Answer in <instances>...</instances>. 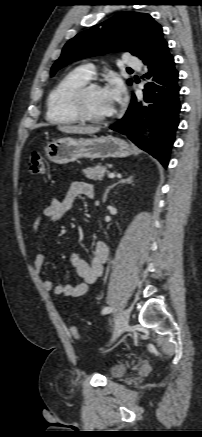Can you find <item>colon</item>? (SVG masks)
<instances>
[{
    "instance_id": "1",
    "label": "colon",
    "mask_w": 202,
    "mask_h": 437,
    "mask_svg": "<svg viewBox=\"0 0 202 437\" xmlns=\"http://www.w3.org/2000/svg\"><path fill=\"white\" fill-rule=\"evenodd\" d=\"M28 168L30 173L34 175L43 174L45 171V163L43 160L42 155L39 152H33L30 155L29 162H28ZM69 333L70 335L78 339L80 337L78 328L74 325L69 326Z\"/></svg>"
}]
</instances>
